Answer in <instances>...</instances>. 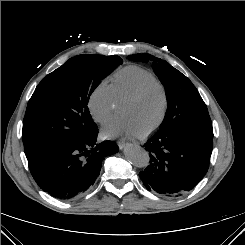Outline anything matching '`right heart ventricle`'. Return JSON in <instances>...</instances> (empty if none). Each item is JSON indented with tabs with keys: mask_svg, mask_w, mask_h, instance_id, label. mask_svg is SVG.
Listing matches in <instances>:
<instances>
[{
	"mask_svg": "<svg viewBox=\"0 0 245 245\" xmlns=\"http://www.w3.org/2000/svg\"><path fill=\"white\" fill-rule=\"evenodd\" d=\"M155 79L146 69L129 65L117 70L111 77V86L116 101L123 100L140 84Z\"/></svg>",
	"mask_w": 245,
	"mask_h": 245,
	"instance_id": "obj_1",
	"label": "right heart ventricle"
}]
</instances>
